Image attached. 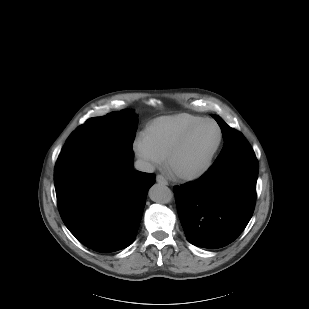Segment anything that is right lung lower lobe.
<instances>
[{
    "instance_id": "1",
    "label": "right lung lower lobe",
    "mask_w": 309,
    "mask_h": 309,
    "mask_svg": "<svg viewBox=\"0 0 309 309\" xmlns=\"http://www.w3.org/2000/svg\"><path fill=\"white\" fill-rule=\"evenodd\" d=\"M132 160V150L101 144L55 171L62 220L94 251H118L135 239L154 175L134 170Z\"/></svg>"
}]
</instances>
